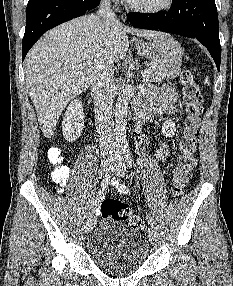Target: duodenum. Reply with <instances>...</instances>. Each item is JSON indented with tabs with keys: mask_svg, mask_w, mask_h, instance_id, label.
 Listing matches in <instances>:
<instances>
[{
	"mask_svg": "<svg viewBox=\"0 0 233 286\" xmlns=\"http://www.w3.org/2000/svg\"><path fill=\"white\" fill-rule=\"evenodd\" d=\"M134 113L137 121H142L146 119L144 113L141 110H139L138 107H134Z\"/></svg>",
	"mask_w": 233,
	"mask_h": 286,
	"instance_id": "obj_1",
	"label": "duodenum"
}]
</instances>
